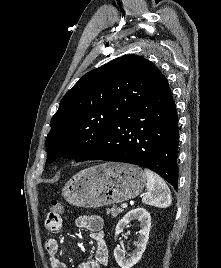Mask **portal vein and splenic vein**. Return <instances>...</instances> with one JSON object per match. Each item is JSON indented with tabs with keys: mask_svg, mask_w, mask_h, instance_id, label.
I'll return each mask as SVG.
<instances>
[{
	"mask_svg": "<svg viewBox=\"0 0 221 268\" xmlns=\"http://www.w3.org/2000/svg\"><path fill=\"white\" fill-rule=\"evenodd\" d=\"M121 207H122V208H126V207H127V204H126V203H123V204L121 205Z\"/></svg>",
	"mask_w": 221,
	"mask_h": 268,
	"instance_id": "1",
	"label": "portal vein and splenic vein"
}]
</instances>
